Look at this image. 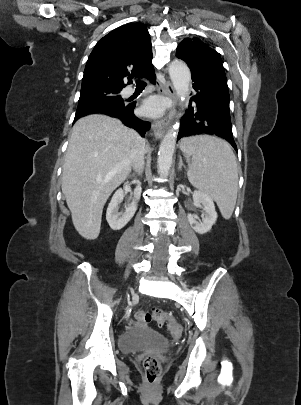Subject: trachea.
<instances>
[{
  "label": "trachea",
  "mask_w": 301,
  "mask_h": 405,
  "mask_svg": "<svg viewBox=\"0 0 301 405\" xmlns=\"http://www.w3.org/2000/svg\"><path fill=\"white\" fill-rule=\"evenodd\" d=\"M136 84H137V86H146V82H144L142 80H136Z\"/></svg>",
  "instance_id": "3493384b"
}]
</instances>
